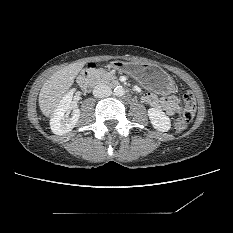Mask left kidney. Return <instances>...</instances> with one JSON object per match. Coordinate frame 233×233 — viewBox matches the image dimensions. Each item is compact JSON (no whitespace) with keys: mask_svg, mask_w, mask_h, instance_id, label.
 <instances>
[{"mask_svg":"<svg viewBox=\"0 0 233 233\" xmlns=\"http://www.w3.org/2000/svg\"><path fill=\"white\" fill-rule=\"evenodd\" d=\"M148 116L152 126L161 132H167L171 128L169 117L160 109L150 108Z\"/></svg>","mask_w":233,"mask_h":233,"instance_id":"5707ae66","label":"left kidney"}]
</instances>
